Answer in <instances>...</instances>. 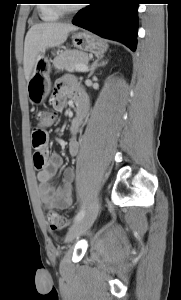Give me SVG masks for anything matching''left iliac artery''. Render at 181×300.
<instances>
[{
    "label": "left iliac artery",
    "mask_w": 181,
    "mask_h": 300,
    "mask_svg": "<svg viewBox=\"0 0 181 300\" xmlns=\"http://www.w3.org/2000/svg\"><path fill=\"white\" fill-rule=\"evenodd\" d=\"M85 215V208H82L74 218V222L80 221Z\"/></svg>",
    "instance_id": "left-iliac-artery-1"
}]
</instances>
